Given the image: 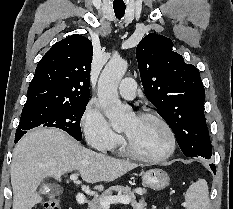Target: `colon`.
I'll list each match as a JSON object with an SVG mask.
<instances>
[{
    "mask_svg": "<svg viewBox=\"0 0 233 209\" xmlns=\"http://www.w3.org/2000/svg\"><path fill=\"white\" fill-rule=\"evenodd\" d=\"M44 209H61L59 199H50L46 201L43 205Z\"/></svg>",
    "mask_w": 233,
    "mask_h": 209,
    "instance_id": "1",
    "label": "colon"
}]
</instances>
